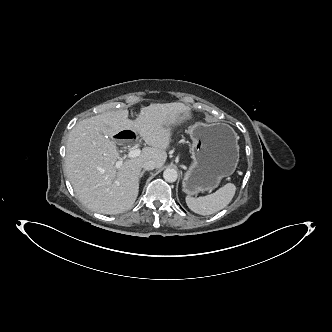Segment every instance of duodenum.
<instances>
[{
  "instance_id": "obj_1",
  "label": "duodenum",
  "mask_w": 332,
  "mask_h": 332,
  "mask_svg": "<svg viewBox=\"0 0 332 332\" xmlns=\"http://www.w3.org/2000/svg\"><path fill=\"white\" fill-rule=\"evenodd\" d=\"M125 134H127L128 136L125 137L126 139L130 138L131 135L133 134L131 131H126Z\"/></svg>"
}]
</instances>
